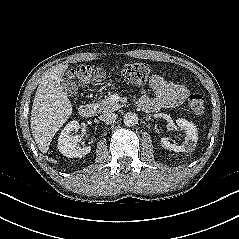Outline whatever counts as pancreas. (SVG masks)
Returning a JSON list of instances; mask_svg holds the SVG:
<instances>
[{
	"instance_id": "pancreas-1",
	"label": "pancreas",
	"mask_w": 239,
	"mask_h": 239,
	"mask_svg": "<svg viewBox=\"0 0 239 239\" xmlns=\"http://www.w3.org/2000/svg\"><path fill=\"white\" fill-rule=\"evenodd\" d=\"M93 106H95L100 113L116 111L122 107L120 103L113 101L111 96H105L103 100L96 102Z\"/></svg>"
}]
</instances>
